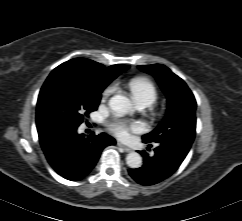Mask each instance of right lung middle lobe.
I'll return each instance as SVG.
<instances>
[{
	"instance_id": "dd1d6c3e",
	"label": "right lung middle lobe",
	"mask_w": 242,
	"mask_h": 221,
	"mask_svg": "<svg viewBox=\"0 0 242 221\" xmlns=\"http://www.w3.org/2000/svg\"><path fill=\"white\" fill-rule=\"evenodd\" d=\"M103 89L59 76L46 80L37 102V126L78 127L97 109Z\"/></svg>"
}]
</instances>
